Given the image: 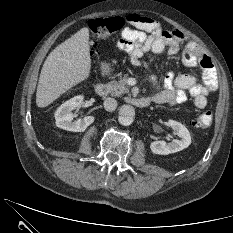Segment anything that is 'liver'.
<instances>
[{"label": "liver", "instance_id": "liver-1", "mask_svg": "<svg viewBox=\"0 0 233 233\" xmlns=\"http://www.w3.org/2000/svg\"><path fill=\"white\" fill-rule=\"evenodd\" d=\"M89 30L82 28L57 46L45 60L36 92V104L47 107L67 90L89 77Z\"/></svg>", "mask_w": 233, "mask_h": 233}]
</instances>
